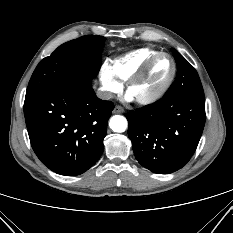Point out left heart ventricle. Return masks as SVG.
<instances>
[{"instance_id": "1", "label": "left heart ventricle", "mask_w": 233, "mask_h": 233, "mask_svg": "<svg viewBox=\"0 0 233 233\" xmlns=\"http://www.w3.org/2000/svg\"><path fill=\"white\" fill-rule=\"evenodd\" d=\"M171 72L172 63L168 58L161 57L153 65L148 75L142 81L135 84L129 92L135 99L148 96L168 79Z\"/></svg>"}]
</instances>
